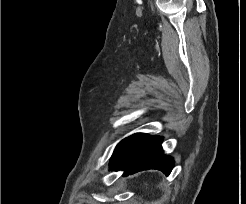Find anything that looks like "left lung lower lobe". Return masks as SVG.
<instances>
[{"mask_svg": "<svg viewBox=\"0 0 246 204\" xmlns=\"http://www.w3.org/2000/svg\"><path fill=\"white\" fill-rule=\"evenodd\" d=\"M160 136L142 133L133 134L123 139L115 148L110 160L111 170H124L128 176L148 169H157L169 175L174 160L163 154Z\"/></svg>", "mask_w": 246, "mask_h": 204, "instance_id": "1", "label": "left lung lower lobe"}]
</instances>
